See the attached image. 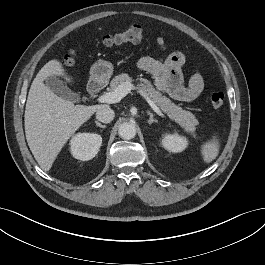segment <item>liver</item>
<instances>
[{
	"mask_svg": "<svg viewBox=\"0 0 265 265\" xmlns=\"http://www.w3.org/2000/svg\"><path fill=\"white\" fill-rule=\"evenodd\" d=\"M57 59L47 62L34 78L25 107L24 126L28 146L44 171H49L68 139L99 109L106 105H74L56 95L44 81L61 76L68 83L73 78Z\"/></svg>",
	"mask_w": 265,
	"mask_h": 265,
	"instance_id": "liver-1",
	"label": "liver"
}]
</instances>
